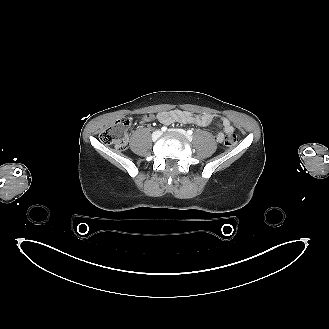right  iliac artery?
Wrapping results in <instances>:
<instances>
[{"mask_svg":"<svg viewBox=\"0 0 329 329\" xmlns=\"http://www.w3.org/2000/svg\"><path fill=\"white\" fill-rule=\"evenodd\" d=\"M161 130L164 132L167 130V127H162Z\"/></svg>","mask_w":329,"mask_h":329,"instance_id":"obj_1","label":"right iliac artery"}]
</instances>
